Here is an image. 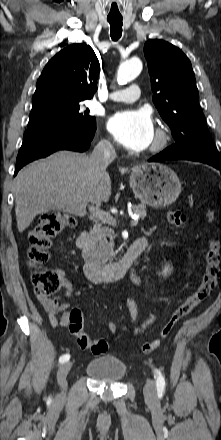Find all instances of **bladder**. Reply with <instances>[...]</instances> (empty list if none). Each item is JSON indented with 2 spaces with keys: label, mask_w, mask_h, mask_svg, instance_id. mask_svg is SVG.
Listing matches in <instances>:
<instances>
[{
  "label": "bladder",
  "mask_w": 221,
  "mask_h": 440,
  "mask_svg": "<svg viewBox=\"0 0 221 440\" xmlns=\"http://www.w3.org/2000/svg\"><path fill=\"white\" fill-rule=\"evenodd\" d=\"M85 371L95 380L118 382L126 375L127 367L119 357L104 355L91 359L87 363Z\"/></svg>",
  "instance_id": "31cf9c89"
}]
</instances>
